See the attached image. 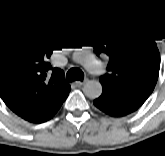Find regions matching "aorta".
<instances>
[{
	"label": "aorta",
	"mask_w": 165,
	"mask_h": 156,
	"mask_svg": "<svg viewBox=\"0 0 165 156\" xmlns=\"http://www.w3.org/2000/svg\"><path fill=\"white\" fill-rule=\"evenodd\" d=\"M66 51H71L73 49H64ZM84 94L91 99L98 98L102 93V85L99 81L91 80L88 81L83 87Z\"/></svg>",
	"instance_id": "762f6f07"
}]
</instances>
